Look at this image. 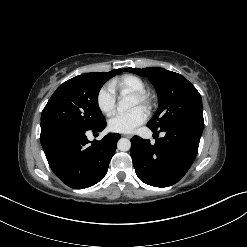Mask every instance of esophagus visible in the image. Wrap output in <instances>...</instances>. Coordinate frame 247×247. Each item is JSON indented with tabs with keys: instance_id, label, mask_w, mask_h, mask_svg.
I'll list each match as a JSON object with an SVG mask.
<instances>
[{
	"instance_id": "esophagus-1",
	"label": "esophagus",
	"mask_w": 247,
	"mask_h": 247,
	"mask_svg": "<svg viewBox=\"0 0 247 247\" xmlns=\"http://www.w3.org/2000/svg\"><path fill=\"white\" fill-rule=\"evenodd\" d=\"M122 136L127 137V138H131V135H127V134H123Z\"/></svg>"
}]
</instances>
